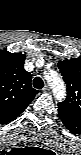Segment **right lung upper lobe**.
Returning <instances> with one entry per match:
<instances>
[{"label": "right lung upper lobe", "instance_id": "1", "mask_svg": "<svg viewBox=\"0 0 81 155\" xmlns=\"http://www.w3.org/2000/svg\"><path fill=\"white\" fill-rule=\"evenodd\" d=\"M25 55L0 52V123L18 117L32 102L38 90L32 88V76L24 67Z\"/></svg>", "mask_w": 81, "mask_h": 155}]
</instances>
